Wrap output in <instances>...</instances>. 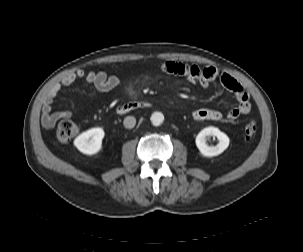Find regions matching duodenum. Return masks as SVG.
<instances>
[{
    "mask_svg": "<svg viewBox=\"0 0 303 252\" xmlns=\"http://www.w3.org/2000/svg\"><path fill=\"white\" fill-rule=\"evenodd\" d=\"M150 102L147 100H135L123 105H118L116 107V112L120 115L126 114L131 110L138 109V108H145L149 107Z\"/></svg>",
    "mask_w": 303,
    "mask_h": 252,
    "instance_id": "obj_1",
    "label": "duodenum"
}]
</instances>
